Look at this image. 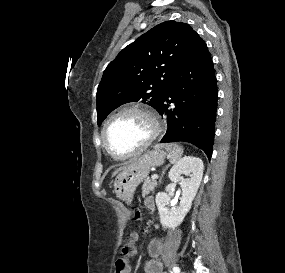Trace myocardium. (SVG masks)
<instances>
[{
    "instance_id": "f54148a6",
    "label": "myocardium",
    "mask_w": 285,
    "mask_h": 273,
    "mask_svg": "<svg viewBox=\"0 0 285 273\" xmlns=\"http://www.w3.org/2000/svg\"><path fill=\"white\" fill-rule=\"evenodd\" d=\"M130 112L141 114L148 119L150 126H151V134L147 138V140L135 150L129 153L120 154L112 150L109 144L107 143V131H108L110 124L112 123L114 119H116L120 115H123L125 113H130ZM162 130H163L162 121L159 115L157 114V112L154 111L152 108L148 106H144V105H128V106H125L119 109L107 119V121L105 122L102 128V143H103L105 150L113 157L120 158V159L130 158V157L138 155L139 153L147 149L155 140H157V138L162 133Z\"/></svg>"
}]
</instances>
